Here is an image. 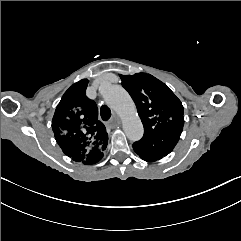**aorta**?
I'll return each mask as SVG.
<instances>
[{"label":"aorta","instance_id":"aorta-1","mask_svg":"<svg viewBox=\"0 0 241 241\" xmlns=\"http://www.w3.org/2000/svg\"><path fill=\"white\" fill-rule=\"evenodd\" d=\"M106 103L113 108L123 121V129L131 141L142 138L144 128L136 113L135 104L127 91L119 85L108 87L103 93Z\"/></svg>","mask_w":241,"mask_h":241}]
</instances>
